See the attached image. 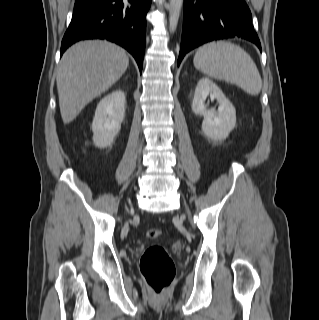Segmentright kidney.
Segmentation results:
<instances>
[{
	"mask_svg": "<svg viewBox=\"0 0 319 320\" xmlns=\"http://www.w3.org/2000/svg\"><path fill=\"white\" fill-rule=\"evenodd\" d=\"M124 117V92L115 90L101 99L92 123L94 145L99 148L110 146L121 129Z\"/></svg>",
	"mask_w": 319,
	"mask_h": 320,
	"instance_id": "right-kidney-1",
	"label": "right kidney"
}]
</instances>
